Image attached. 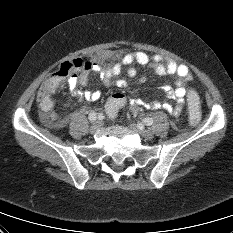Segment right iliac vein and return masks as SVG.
Returning a JSON list of instances; mask_svg holds the SVG:
<instances>
[{
	"instance_id": "obj_1",
	"label": "right iliac vein",
	"mask_w": 233,
	"mask_h": 233,
	"mask_svg": "<svg viewBox=\"0 0 233 233\" xmlns=\"http://www.w3.org/2000/svg\"><path fill=\"white\" fill-rule=\"evenodd\" d=\"M101 122L97 121V122H94L92 124V126L90 127V133H95L97 130H99L101 128Z\"/></svg>"
}]
</instances>
